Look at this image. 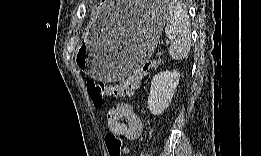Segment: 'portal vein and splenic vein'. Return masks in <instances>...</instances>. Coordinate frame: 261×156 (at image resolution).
Listing matches in <instances>:
<instances>
[{"mask_svg": "<svg viewBox=\"0 0 261 156\" xmlns=\"http://www.w3.org/2000/svg\"><path fill=\"white\" fill-rule=\"evenodd\" d=\"M166 44H169V41H166Z\"/></svg>", "mask_w": 261, "mask_h": 156, "instance_id": "portal-vein-and-splenic-vein-1", "label": "portal vein and splenic vein"}]
</instances>
